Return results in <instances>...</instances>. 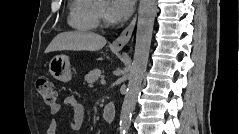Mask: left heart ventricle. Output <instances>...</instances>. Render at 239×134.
<instances>
[{
  "instance_id": "obj_1",
  "label": "left heart ventricle",
  "mask_w": 239,
  "mask_h": 134,
  "mask_svg": "<svg viewBox=\"0 0 239 134\" xmlns=\"http://www.w3.org/2000/svg\"><path fill=\"white\" fill-rule=\"evenodd\" d=\"M99 5L103 8L104 13L106 15V9H107V5H108L107 1H99Z\"/></svg>"
}]
</instances>
